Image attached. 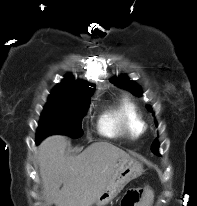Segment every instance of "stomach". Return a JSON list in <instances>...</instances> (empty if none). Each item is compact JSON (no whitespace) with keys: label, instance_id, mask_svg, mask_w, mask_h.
I'll use <instances>...</instances> for the list:
<instances>
[{"label":"stomach","instance_id":"1","mask_svg":"<svg viewBox=\"0 0 197 206\" xmlns=\"http://www.w3.org/2000/svg\"><path fill=\"white\" fill-rule=\"evenodd\" d=\"M143 173L142 165L130 157L122 158L118 162L114 174L102 193L95 200L96 206H105L112 201L121 190L133 179Z\"/></svg>","mask_w":197,"mask_h":206}]
</instances>
